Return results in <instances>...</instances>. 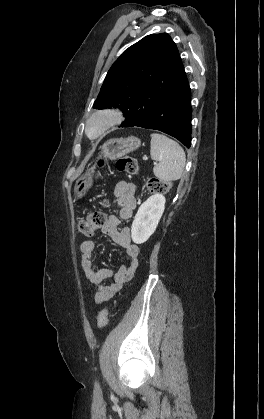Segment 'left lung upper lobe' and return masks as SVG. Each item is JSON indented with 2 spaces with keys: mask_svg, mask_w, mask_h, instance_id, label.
I'll list each match as a JSON object with an SVG mask.
<instances>
[{
  "mask_svg": "<svg viewBox=\"0 0 264 419\" xmlns=\"http://www.w3.org/2000/svg\"><path fill=\"white\" fill-rule=\"evenodd\" d=\"M179 64L178 49L168 34L148 35L114 62L93 107H117L125 114L149 90L174 76Z\"/></svg>",
  "mask_w": 264,
  "mask_h": 419,
  "instance_id": "obj_1",
  "label": "left lung upper lobe"
}]
</instances>
